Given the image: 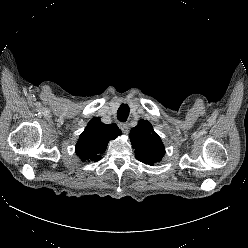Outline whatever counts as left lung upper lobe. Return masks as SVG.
Returning <instances> with one entry per match:
<instances>
[{"label": "left lung upper lobe", "instance_id": "1", "mask_svg": "<svg viewBox=\"0 0 248 248\" xmlns=\"http://www.w3.org/2000/svg\"><path fill=\"white\" fill-rule=\"evenodd\" d=\"M130 141L135 149V157L146 164L154 165L165 154L164 145L160 137L154 132L147 120H140L130 131Z\"/></svg>", "mask_w": 248, "mask_h": 248}]
</instances>
